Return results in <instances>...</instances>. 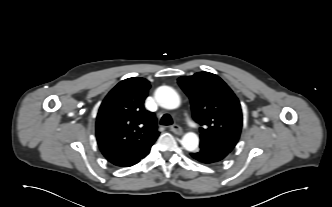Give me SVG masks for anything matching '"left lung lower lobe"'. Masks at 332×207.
I'll return each instance as SVG.
<instances>
[{
    "label": "left lung lower lobe",
    "instance_id": "obj_1",
    "mask_svg": "<svg viewBox=\"0 0 332 207\" xmlns=\"http://www.w3.org/2000/svg\"><path fill=\"white\" fill-rule=\"evenodd\" d=\"M191 157L204 164H212L221 161L228 154L206 146H200L193 153H190Z\"/></svg>",
    "mask_w": 332,
    "mask_h": 207
}]
</instances>
